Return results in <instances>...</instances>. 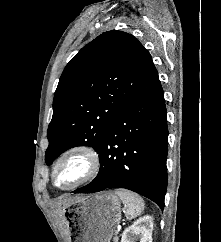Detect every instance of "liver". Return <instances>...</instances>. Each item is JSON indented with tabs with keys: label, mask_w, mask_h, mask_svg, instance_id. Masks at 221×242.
I'll return each instance as SVG.
<instances>
[{
	"label": "liver",
	"mask_w": 221,
	"mask_h": 242,
	"mask_svg": "<svg viewBox=\"0 0 221 242\" xmlns=\"http://www.w3.org/2000/svg\"><path fill=\"white\" fill-rule=\"evenodd\" d=\"M73 199H64L58 203V212L59 214H62V209L64 208L72 201Z\"/></svg>",
	"instance_id": "6515ba94"
}]
</instances>
